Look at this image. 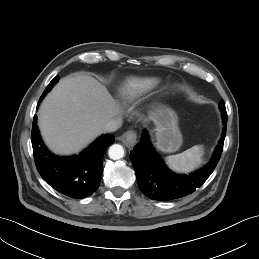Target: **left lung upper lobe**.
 <instances>
[{
	"instance_id": "left-lung-upper-lobe-1",
	"label": "left lung upper lobe",
	"mask_w": 259,
	"mask_h": 259,
	"mask_svg": "<svg viewBox=\"0 0 259 259\" xmlns=\"http://www.w3.org/2000/svg\"><path fill=\"white\" fill-rule=\"evenodd\" d=\"M219 106H225L223 100H221V102L219 103Z\"/></svg>"
}]
</instances>
